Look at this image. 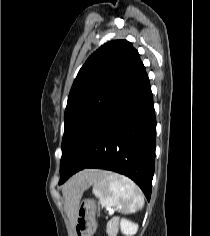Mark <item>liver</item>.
Here are the masks:
<instances>
[{
    "label": "liver",
    "mask_w": 210,
    "mask_h": 236,
    "mask_svg": "<svg viewBox=\"0 0 210 236\" xmlns=\"http://www.w3.org/2000/svg\"><path fill=\"white\" fill-rule=\"evenodd\" d=\"M103 173V171L96 169L84 170L74 175L65 183L62 192L71 221H74L76 218L83 191L89 188Z\"/></svg>",
    "instance_id": "1"
}]
</instances>
